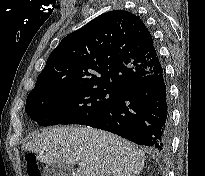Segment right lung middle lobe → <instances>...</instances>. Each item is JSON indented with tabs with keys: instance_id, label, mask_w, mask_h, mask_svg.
Instances as JSON below:
<instances>
[{
	"instance_id": "1",
	"label": "right lung middle lobe",
	"mask_w": 205,
	"mask_h": 176,
	"mask_svg": "<svg viewBox=\"0 0 205 176\" xmlns=\"http://www.w3.org/2000/svg\"><path fill=\"white\" fill-rule=\"evenodd\" d=\"M120 90L111 87H68L29 95L25 111L41 126L86 125L99 116Z\"/></svg>"
}]
</instances>
